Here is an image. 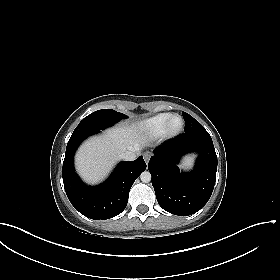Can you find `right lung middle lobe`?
I'll return each instance as SVG.
<instances>
[{
  "label": "right lung middle lobe",
  "instance_id": "obj_1",
  "mask_svg": "<svg viewBox=\"0 0 280 280\" xmlns=\"http://www.w3.org/2000/svg\"><path fill=\"white\" fill-rule=\"evenodd\" d=\"M124 118H127V116L111 109L95 111L79 123L72 133V136L82 133L98 132L101 129L112 126L114 123H117Z\"/></svg>",
  "mask_w": 280,
  "mask_h": 280
}]
</instances>
